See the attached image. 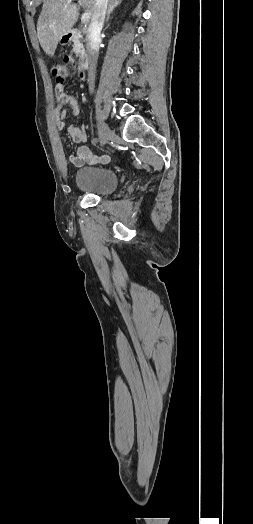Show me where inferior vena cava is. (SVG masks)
<instances>
[{
	"label": "inferior vena cava",
	"mask_w": 253,
	"mask_h": 524,
	"mask_svg": "<svg viewBox=\"0 0 253 524\" xmlns=\"http://www.w3.org/2000/svg\"><path fill=\"white\" fill-rule=\"evenodd\" d=\"M108 0H95L93 12L87 34V50L89 53L88 83L91 92L94 90L96 64L98 59L100 33L104 24Z\"/></svg>",
	"instance_id": "1"
}]
</instances>
